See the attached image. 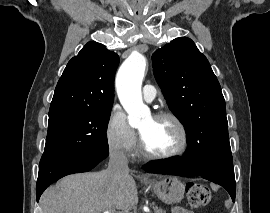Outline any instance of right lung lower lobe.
I'll return each mask as SVG.
<instances>
[{
	"label": "right lung lower lobe",
	"instance_id": "obj_1",
	"mask_svg": "<svg viewBox=\"0 0 270 213\" xmlns=\"http://www.w3.org/2000/svg\"><path fill=\"white\" fill-rule=\"evenodd\" d=\"M108 155V150H99L81 156L41 160L36 187L37 201L43 191L53 182L69 174L87 172L98 165Z\"/></svg>",
	"mask_w": 270,
	"mask_h": 213
}]
</instances>
